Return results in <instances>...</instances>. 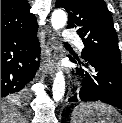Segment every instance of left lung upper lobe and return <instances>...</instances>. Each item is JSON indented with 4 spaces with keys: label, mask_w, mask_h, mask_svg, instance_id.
Here are the masks:
<instances>
[{
    "label": "left lung upper lobe",
    "mask_w": 122,
    "mask_h": 123,
    "mask_svg": "<svg viewBox=\"0 0 122 123\" xmlns=\"http://www.w3.org/2000/svg\"><path fill=\"white\" fill-rule=\"evenodd\" d=\"M55 6L68 12L67 28H77L83 39L82 58L95 54L121 60L113 18L104 0H57Z\"/></svg>",
    "instance_id": "5c2ea615"
}]
</instances>
